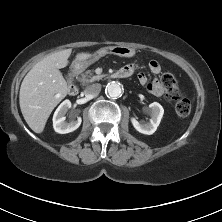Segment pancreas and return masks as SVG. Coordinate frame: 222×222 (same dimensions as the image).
I'll list each match as a JSON object with an SVG mask.
<instances>
[{
    "instance_id": "1",
    "label": "pancreas",
    "mask_w": 222,
    "mask_h": 222,
    "mask_svg": "<svg viewBox=\"0 0 222 222\" xmlns=\"http://www.w3.org/2000/svg\"><path fill=\"white\" fill-rule=\"evenodd\" d=\"M100 79H102L101 75H94L91 70H87L81 75L79 81L82 83V85H87L94 81H99Z\"/></svg>"
}]
</instances>
